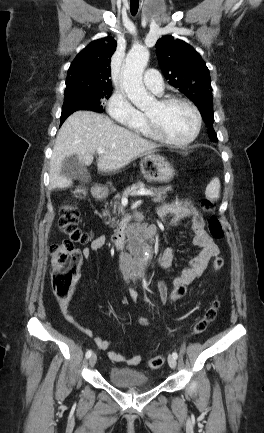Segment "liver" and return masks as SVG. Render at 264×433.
<instances>
[{
  "label": "liver",
  "instance_id": "1",
  "mask_svg": "<svg viewBox=\"0 0 264 433\" xmlns=\"http://www.w3.org/2000/svg\"><path fill=\"white\" fill-rule=\"evenodd\" d=\"M99 148L105 153L97 161L98 170L113 172L139 156L154 153L158 145L116 125L105 115L77 111L66 119L57 134L50 160V189H64L72 184L61 175L65 158L76 155L84 166H90Z\"/></svg>",
  "mask_w": 264,
  "mask_h": 433
}]
</instances>
